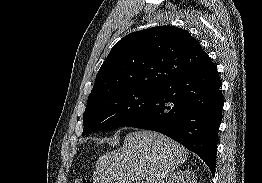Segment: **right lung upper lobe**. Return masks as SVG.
<instances>
[{
  "mask_svg": "<svg viewBox=\"0 0 262 183\" xmlns=\"http://www.w3.org/2000/svg\"><path fill=\"white\" fill-rule=\"evenodd\" d=\"M210 61L199 42L184 29L158 26L133 32L111 49L88 100L130 88L157 89Z\"/></svg>",
  "mask_w": 262,
  "mask_h": 183,
  "instance_id": "1",
  "label": "right lung upper lobe"
}]
</instances>
